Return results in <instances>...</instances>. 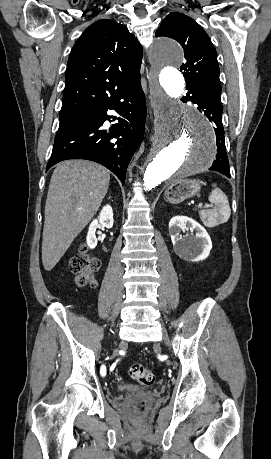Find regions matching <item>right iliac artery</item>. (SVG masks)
Wrapping results in <instances>:
<instances>
[{
	"label": "right iliac artery",
	"instance_id": "obj_1",
	"mask_svg": "<svg viewBox=\"0 0 271 459\" xmlns=\"http://www.w3.org/2000/svg\"><path fill=\"white\" fill-rule=\"evenodd\" d=\"M100 367H101V371H106V364L105 363H101L100 364Z\"/></svg>",
	"mask_w": 271,
	"mask_h": 459
}]
</instances>
